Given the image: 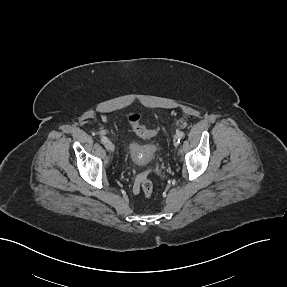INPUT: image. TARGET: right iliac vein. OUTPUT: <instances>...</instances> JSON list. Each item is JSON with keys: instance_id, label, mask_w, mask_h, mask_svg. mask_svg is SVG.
Here are the masks:
<instances>
[{"instance_id": "obj_1", "label": "right iliac vein", "mask_w": 287, "mask_h": 287, "mask_svg": "<svg viewBox=\"0 0 287 287\" xmlns=\"http://www.w3.org/2000/svg\"><path fill=\"white\" fill-rule=\"evenodd\" d=\"M105 148L110 152H113L115 149L114 144L110 140L105 143Z\"/></svg>"}]
</instances>
